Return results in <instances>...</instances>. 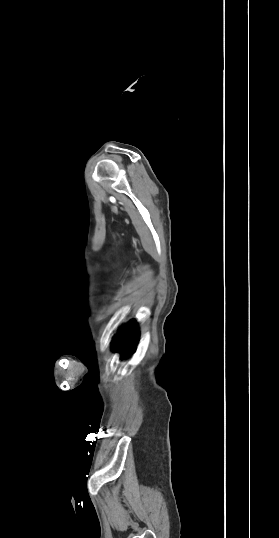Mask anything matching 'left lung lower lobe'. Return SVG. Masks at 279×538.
I'll list each match as a JSON object with an SVG mask.
<instances>
[{"label": "left lung lower lobe", "instance_id": "1", "mask_svg": "<svg viewBox=\"0 0 279 538\" xmlns=\"http://www.w3.org/2000/svg\"><path fill=\"white\" fill-rule=\"evenodd\" d=\"M139 331L136 322H129L114 339L115 351H119L123 356L133 353L138 343Z\"/></svg>", "mask_w": 279, "mask_h": 538}]
</instances>
